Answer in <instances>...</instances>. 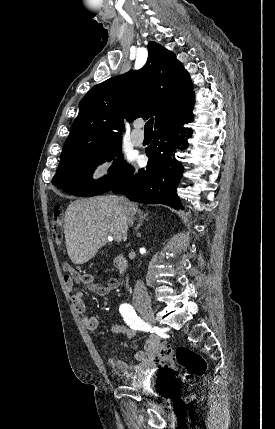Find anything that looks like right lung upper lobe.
Listing matches in <instances>:
<instances>
[{"instance_id":"1","label":"right lung upper lobe","mask_w":275,"mask_h":429,"mask_svg":"<svg viewBox=\"0 0 275 429\" xmlns=\"http://www.w3.org/2000/svg\"><path fill=\"white\" fill-rule=\"evenodd\" d=\"M148 59L138 71L95 85L81 100L60 161L103 148L119 139L123 120L155 116V129L192 115L188 72L171 51L148 44Z\"/></svg>"}]
</instances>
